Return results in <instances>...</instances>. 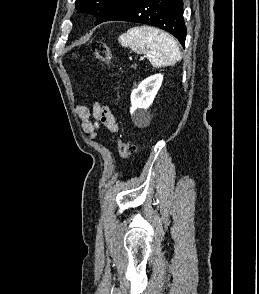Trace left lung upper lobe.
<instances>
[{
	"instance_id": "5c2ea615",
	"label": "left lung upper lobe",
	"mask_w": 259,
	"mask_h": 294,
	"mask_svg": "<svg viewBox=\"0 0 259 294\" xmlns=\"http://www.w3.org/2000/svg\"><path fill=\"white\" fill-rule=\"evenodd\" d=\"M125 0H76L75 8L80 13L96 16V25L102 23L109 13Z\"/></svg>"
}]
</instances>
